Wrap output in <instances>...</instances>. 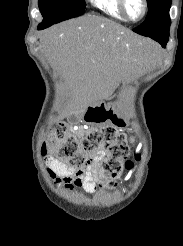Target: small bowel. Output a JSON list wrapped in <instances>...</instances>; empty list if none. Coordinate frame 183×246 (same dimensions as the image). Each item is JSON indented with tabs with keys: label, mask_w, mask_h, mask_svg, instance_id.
Segmentation results:
<instances>
[{
	"label": "small bowel",
	"mask_w": 183,
	"mask_h": 246,
	"mask_svg": "<svg viewBox=\"0 0 183 246\" xmlns=\"http://www.w3.org/2000/svg\"><path fill=\"white\" fill-rule=\"evenodd\" d=\"M105 157V151L99 149L95 152L92 161L85 169L77 171L49 157V174L56 183H63L68 190L82 188L87 193H93L96 189V181L99 173V164Z\"/></svg>",
	"instance_id": "obj_1"
}]
</instances>
